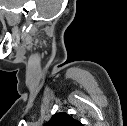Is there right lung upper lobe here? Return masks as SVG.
<instances>
[{"mask_svg": "<svg viewBox=\"0 0 127 126\" xmlns=\"http://www.w3.org/2000/svg\"><path fill=\"white\" fill-rule=\"evenodd\" d=\"M44 126H82V124L72 116L62 112L55 113Z\"/></svg>", "mask_w": 127, "mask_h": 126, "instance_id": "right-lung-upper-lobe-1", "label": "right lung upper lobe"}]
</instances>
